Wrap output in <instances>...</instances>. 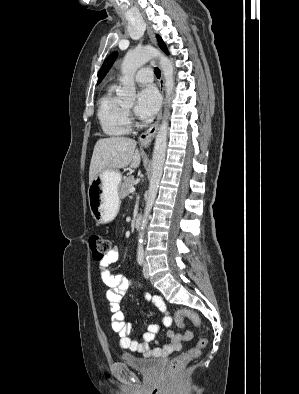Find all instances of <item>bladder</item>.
I'll return each mask as SVG.
<instances>
[{"label":"bladder","instance_id":"bladder-1","mask_svg":"<svg viewBox=\"0 0 299 394\" xmlns=\"http://www.w3.org/2000/svg\"><path fill=\"white\" fill-rule=\"evenodd\" d=\"M121 360L136 371L149 374L158 369L161 361L157 358L142 357L131 353H122Z\"/></svg>","mask_w":299,"mask_h":394}]
</instances>
